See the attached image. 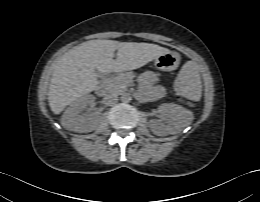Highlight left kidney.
Segmentation results:
<instances>
[{
    "label": "left kidney",
    "mask_w": 260,
    "mask_h": 202,
    "mask_svg": "<svg viewBox=\"0 0 260 202\" xmlns=\"http://www.w3.org/2000/svg\"><path fill=\"white\" fill-rule=\"evenodd\" d=\"M158 112L161 115L166 116L169 119V122L166 125L156 120H151L149 122L151 131L157 136L179 133L187 127L193 119L191 111L173 103L161 104L158 107Z\"/></svg>",
    "instance_id": "1"
}]
</instances>
